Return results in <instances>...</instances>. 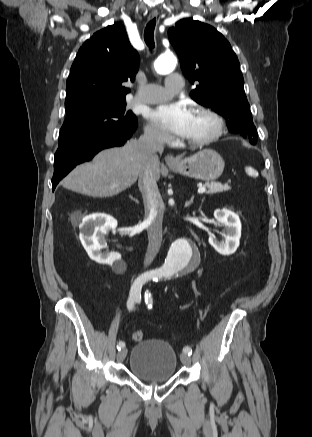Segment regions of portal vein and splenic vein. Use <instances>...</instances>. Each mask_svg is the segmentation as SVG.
Listing matches in <instances>:
<instances>
[{"label": "portal vein and splenic vein", "mask_w": 312, "mask_h": 437, "mask_svg": "<svg viewBox=\"0 0 312 437\" xmlns=\"http://www.w3.org/2000/svg\"><path fill=\"white\" fill-rule=\"evenodd\" d=\"M204 192H206V187H201V188L198 189V193L199 194H202Z\"/></svg>", "instance_id": "portal-vein-and-splenic-vein-1"}]
</instances>
